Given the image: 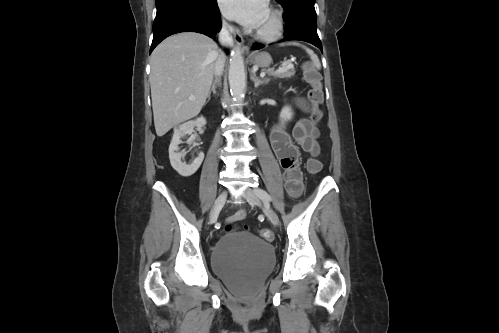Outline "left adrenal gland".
Masks as SVG:
<instances>
[{
    "mask_svg": "<svg viewBox=\"0 0 499 333\" xmlns=\"http://www.w3.org/2000/svg\"><path fill=\"white\" fill-rule=\"evenodd\" d=\"M250 79L254 82V87L257 88L262 84H267L268 80L258 79L254 73L251 74Z\"/></svg>",
    "mask_w": 499,
    "mask_h": 333,
    "instance_id": "a2214340",
    "label": "left adrenal gland"
}]
</instances>
